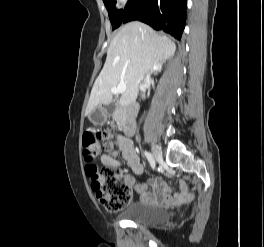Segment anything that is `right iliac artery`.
Masks as SVG:
<instances>
[{"mask_svg":"<svg viewBox=\"0 0 264 247\" xmlns=\"http://www.w3.org/2000/svg\"><path fill=\"white\" fill-rule=\"evenodd\" d=\"M144 155L146 156L148 162L150 163L151 168L154 170L155 169V161H154L153 155L147 151L144 152Z\"/></svg>","mask_w":264,"mask_h":247,"instance_id":"right-iliac-artery-1","label":"right iliac artery"}]
</instances>
